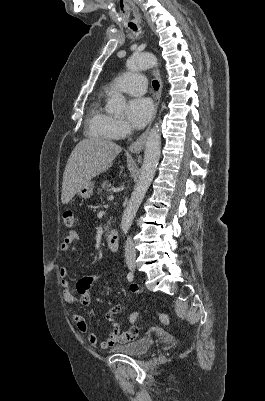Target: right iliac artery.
<instances>
[{
    "label": "right iliac artery",
    "instance_id": "82829eb1",
    "mask_svg": "<svg viewBox=\"0 0 265 401\" xmlns=\"http://www.w3.org/2000/svg\"><path fill=\"white\" fill-rule=\"evenodd\" d=\"M133 279H134L133 273H132V272H129V273L127 274V280H128L129 282H131V281H133Z\"/></svg>",
    "mask_w": 265,
    "mask_h": 401
}]
</instances>
